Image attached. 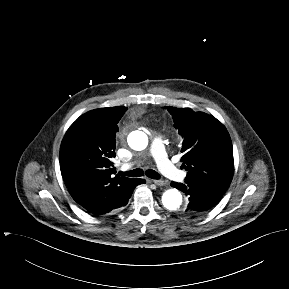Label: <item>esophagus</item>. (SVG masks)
I'll return each mask as SVG.
<instances>
[{
    "label": "esophagus",
    "instance_id": "1",
    "mask_svg": "<svg viewBox=\"0 0 289 289\" xmlns=\"http://www.w3.org/2000/svg\"><path fill=\"white\" fill-rule=\"evenodd\" d=\"M157 186H164L166 183L163 180H152Z\"/></svg>",
    "mask_w": 289,
    "mask_h": 289
}]
</instances>
